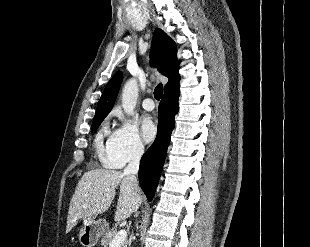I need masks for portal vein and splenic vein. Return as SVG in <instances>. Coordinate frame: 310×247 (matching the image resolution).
Segmentation results:
<instances>
[{
    "mask_svg": "<svg viewBox=\"0 0 310 247\" xmlns=\"http://www.w3.org/2000/svg\"><path fill=\"white\" fill-rule=\"evenodd\" d=\"M126 236V230H120L111 241L109 247H120V245L125 241Z\"/></svg>",
    "mask_w": 310,
    "mask_h": 247,
    "instance_id": "obj_1",
    "label": "portal vein and splenic vein"
}]
</instances>
